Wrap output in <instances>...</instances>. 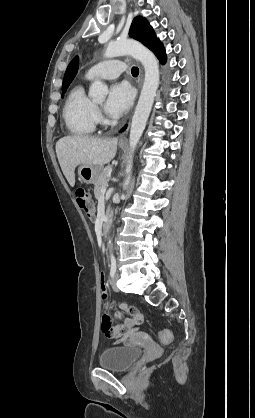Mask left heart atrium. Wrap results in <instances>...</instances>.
<instances>
[{
  "label": "left heart atrium",
  "mask_w": 255,
  "mask_h": 418,
  "mask_svg": "<svg viewBox=\"0 0 255 418\" xmlns=\"http://www.w3.org/2000/svg\"><path fill=\"white\" fill-rule=\"evenodd\" d=\"M133 97V91L127 83L113 84L105 102L106 113L113 118L121 116L131 107Z\"/></svg>",
  "instance_id": "1"
}]
</instances>
